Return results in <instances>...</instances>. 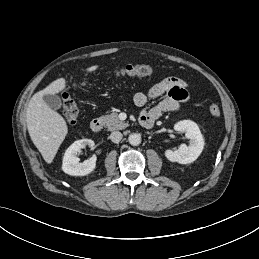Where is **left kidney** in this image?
Returning <instances> with one entry per match:
<instances>
[{
	"label": "left kidney",
	"mask_w": 259,
	"mask_h": 259,
	"mask_svg": "<svg viewBox=\"0 0 259 259\" xmlns=\"http://www.w3.org/2000/svg\"><path fill=\"white\" fill-rule=\"evenodd\" d=\"M174 130L185 132L189 139V146L181 145L178 150H166L165 156L171 162L189 164L194 162L202 153L204 139L198 125L191 120H182L174 124Z\"/></svg>",
	"instance_id": "obj_1"
}]
</instances>
